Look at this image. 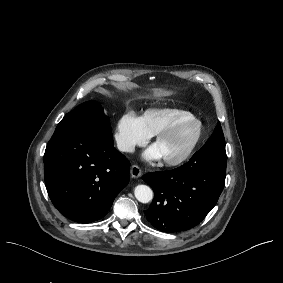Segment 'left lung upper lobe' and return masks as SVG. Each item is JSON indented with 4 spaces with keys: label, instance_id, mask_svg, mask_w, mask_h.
<instances>
[{
    "label": "left lung upper lobe",
    "instance_id": "5c2ea615",
    "mask_svg": "<svg viewBox=\"0 0 283 283\" xmlns=\"http://www.w3.org/2000/svg\"><path fill=\"white\" fill-rule=\"evenodd\" d=\"M213 142H217L221 145H225L224 135H223L220 123H218L213 134L211 135V137L208 139V141L206 143H213Z\"/></svg>",
    "mask_w": 283,
    "mask_h": 283
}]
</instances>
